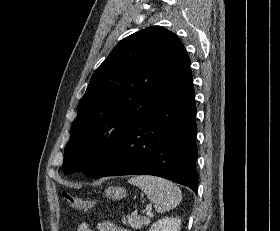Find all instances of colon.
Instances as JSON below:
<instances>
[{
	"instance_id": "1",
	"label": "colon",
	"mask_w": 280,
	"mask_h": 231,
	"mask_svg": "<svg viewBox=\"0 0 280 231\" xmlns=\"http://www.w3.org/2000/svg\"><path fill=\"white\" fill-rule=\"evenodd\" d=\"M63 197L70 207L79 211H89L96 206L95 201H88L79 197H75L67 191L63 192Z\"/></svg>"
}]
</instances>
